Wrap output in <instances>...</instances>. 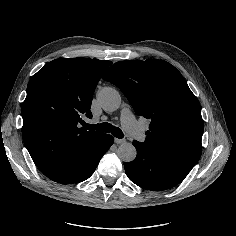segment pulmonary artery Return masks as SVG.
Returning <instances> with one entry per match:
<instances>
[{
  "label": "pulmonary artery",
  "mask_w": 236,
  "mask_h": 236,
  "mask_svg": "<svg viewBox=\"0 0 236 236\" xmlns=\"http://www.w3.org/2000/svg\"><path fill=\"white\" fill-rule=\"evenodd\" d=\"M120 114L123 126L131 133V136L136 142H141L144 139V133L134 121V117L131 115V109L128 106H123L120 109Z\"/></svg>",
  "instance_id": "1"
}]
</instances>
